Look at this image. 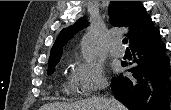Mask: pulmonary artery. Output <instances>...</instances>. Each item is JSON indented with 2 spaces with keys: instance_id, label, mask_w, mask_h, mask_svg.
<instances>
[{
  "instance_id": "obj_1",
  "label": "pulmonary artery",
  "mask_w": 171,
  "mask_h": 110,
  "mask_svg": "<svg viewBox=\"0 0 171 110\" xmlns=\"http://www.w3.org/2000/svg\"><path fill=\"white\" fill-rule=\"evenodd\" d=\"M109 53L112 56H115V57H121V56H123L124 49L122 48V44H121L120 39L114 40L111 43V45L109 47Z\"/></svg>"
}]
</instances>
